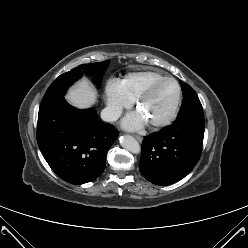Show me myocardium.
Returning a JSON list of instances; mask_svg holds the SVG:
<instances>
[{
    "label": "myocardium",
    "instance_id": "f54148a6",
    "mask_svg": "<svg viewBox=\"0 0 248 248\" xmlns=\"http://www.w3.org/2000/svg\"><path fill=\"white\" fill-rule=\"evenodd\" d=\"M164 82H172L176 85L177 87V99L175 102V105L173 107V109L171 110V112L164 118H162L161 120L158 121H154V122H150L149 124L152 127H163L166 126L168 124H170L177 116L181 103H182V88L179 84V82L172 78V77H164L162 79L156 80L153 83H151L136 99H135V105L137 107H140L141 104L148 99V97L151 95V93L154 91V89L156 87H158L160 84L164 83Z\"/></svg>",
    "mask_w": 248,
    "mask_h": 248
}]
</instances>
